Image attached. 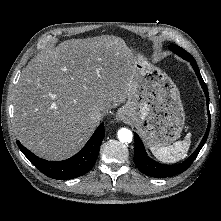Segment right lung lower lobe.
<instances>
[{
	"label": "right lung lower lobe",
	"mask_w": 221,
	"mask_h": 221,
	"mask_svg": "<svg viewBox=\"0 0 221 221\" xmlns=\"http://www.w3.org/2000/svg\"><path fill=\"white\" fill-rule=\"evenodd\" d=\"M104 136V124L101 123L81 151L73 157L59 162L47 161L37 157L19 141H17V145L28 160L43 174L57 180H67L82 176L92 168Z\"/></svg>",
	"instance_id": "1"
}]
</instances>
